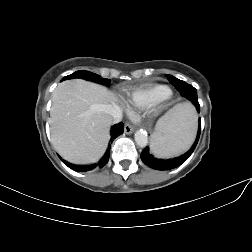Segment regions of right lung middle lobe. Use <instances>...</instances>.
Here are the masks:
<instances>
[{
	"label": "right lung middle lobe",
	"mask_w": 252,
	"mask_h": 252,
	"mask_svg": "<svg viewBox=\"0 0 252 252\" xmlns=\"http://www.w3.org/2000/svg\"><path fill=\"white\" fill-rule=\"evenodd\" d=\"M74 78H81L84 80L93 81L95 83L109 85L108 79L101 78L100 75H97L95 73L85 71V70L76 71L71 75L65 76L61 81L66 80V79H74Z\"/></svg>",
	"instance_id": "obj_1"
}]
</instances>
